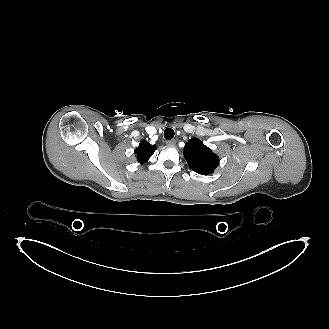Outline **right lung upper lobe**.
Wrapping results in <instances>:
<instances>
[{
    "label": "right lung upper lobe",
    "instance_id": "obj_1",
    "mask_svg": "<svg viewBox=\"0 0 329 329\" xmlns=\"http://www.w3.org/2000/svg\"><path fill=\"white\" fill-rule=\"evenodd\" d=\"M156 150V145H151L149 142L143 140L139 147L135 149V154L139 163H145L152 156Z\"/></svg>",
    "mask_w": 329,
    "mask_h": 329
}]
</instances>
